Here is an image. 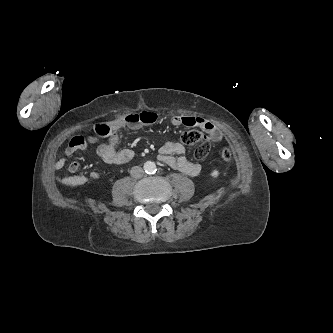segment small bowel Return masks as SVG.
<instances>
[{
    "instance_id": "small-bowel-1",
    "label": "small bowel",
    "mask_w": 333,
    "mask_h": 333,
    "mask_svg": "<svg viewBox=\"0 0 333 333\" xmlns=\"http://www.w3.org/2000/svg\"><path fill=\"white\" fill-rule=\"evenodd\" d=\"M157 120V115L153 112L143 111L140 113H132L125 117L115 119L109 123L111 134L106 142H99L95 136L78 135L71 138L64 155L55 162V169H62L68 157L75 152L87 149L90 145L96 144V152L100 159L107 164L122 165L131 161L134 152L131 149H117L118 131L123 128L138 129L144 125H149ZM171 123L175 126L199 127L207 135L212 142H219L223 138L221 128L211 121L188 115H175L171 118ZM186 149L179 141H167L159 149V160L166 163L170 167L182 171L189 176H197L201 172V166L197 163L189 161L186 156ZM79 169V163L74 161L69 164L68 171L75 173ZM92 179H97L99 173L92 171L90 173ZM87 177L84 175H73L63 179V183L68 186L76 187L85 184Z\"/></svg>"
}]
</instances>
